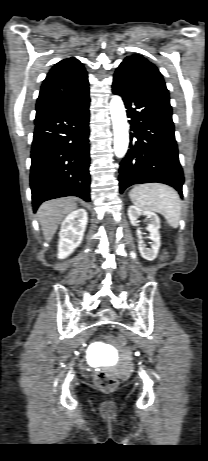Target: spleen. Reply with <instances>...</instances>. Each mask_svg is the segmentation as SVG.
<instances>
[{
	"instance_id": "spleen-1",
	"label": "spleen",
	"mask_w": 208,
	"mask_h": 461,
	"mask_svg": "<svg viewBox=\"0 0 208 461\" xmlns=\"http://www.w3.org/2000/svg\"><path fill=\"white\" fill-rule=\"evenodd\" d=\"M129 197L142 210L162 214L171 227L179 226L181 201L172 187L160 183L140 184L129 192Z\"/></svg>"
}]
</instances>
